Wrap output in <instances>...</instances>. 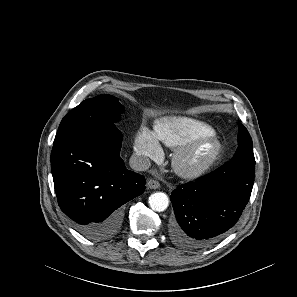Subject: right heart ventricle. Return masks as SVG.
Returning a JSON list of instances; mask_svg holds the SVG:
<instances>
[{
    "label": "right heart ventricle",
    "mask_w": 297,
    "mask_h": 297,
    "mask_svg": "<svg viewBox=\"0 0 297 297\" xmlns=\"http://www.w3.org/2000/svg\"><path fill=\"white\" fill-rule=\"evenodd\" d=\"M157 138L170 148H177L204 134L214 133L213 128L198 119L186 116L166 117L155 124Z\"/></svg>",
    "instance_id": "right-heart-ventricle-1"
}]
</instances>
